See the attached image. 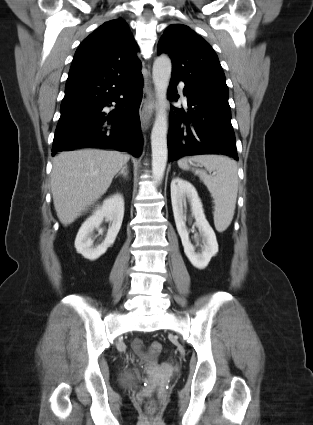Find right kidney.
<instances>
[{"label":"right kidney","instance_id":"right-kidney-1","mask_svg":"<svg viewBox=\"0 0 313 425\" xmlns=\"http://www.w3.org/2000/svg\"><path fill=\"white\" fill-rule=\"evenodd\" d=\"M124 217V199L115 194L103 201V204L82 224L75 239V248L79 254L91 261L98 259L113 245L121 228ZM104 218L111 223L105 240L93 247V231L99 228Z\"/></svg>","mask_w":313,"mask_h":425}]
</instances>
